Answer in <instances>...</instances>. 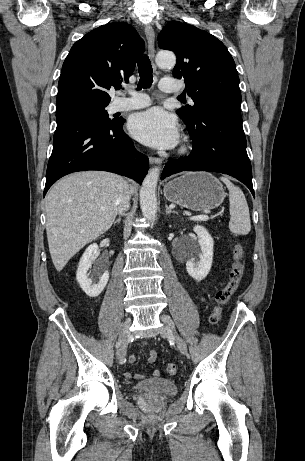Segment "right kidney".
<instances>
[{"mask_svg":"<svg viewBox=\"0 0 305 461\" xmlns=\"http://www.w3.org/2000/svg\"><path fill=\"white\" fill-rule=\"evenodd\" d=\"M100 253L97 244H91L82 255L76 273V279L81 289L89 297H97L106 287L109 280L108 270L100 271L98 273L99 280L90 278L87 274L88 270L92 267V262L98 257Z\"/></svg>","mask_w":305,"mask_h":461,"instance_id":"1","label":"right kidney"}]
</instances>
